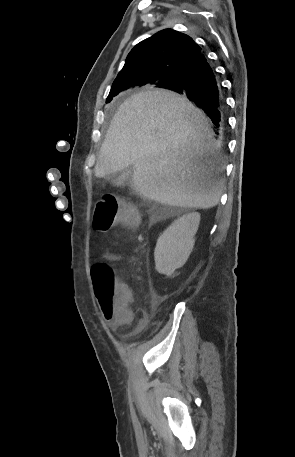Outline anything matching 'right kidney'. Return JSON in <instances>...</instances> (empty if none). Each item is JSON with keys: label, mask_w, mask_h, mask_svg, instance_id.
I'll list each match as a JSON object with an SVG mask.
<instances>
[{"label": "right kidney", "mask_w": 295, "mask_h": 457, "mask_svg": "<svg viewBox=\"0 0 295 457\" xmlns=\"http://www.w3.org/2000/svg\"><path fill=\"white\" fill-rule=\"evenodd\" d=\"M199 213H189L175 220L159 237L154 251L156 270L170 276L182 267L195 243Z\"/></svg>", "instance_id": "ca27d5eb"}]
</instances>
